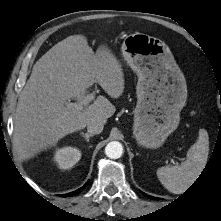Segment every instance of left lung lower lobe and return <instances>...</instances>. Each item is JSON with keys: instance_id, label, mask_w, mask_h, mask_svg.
Masks as SVG:
<instances>
[{"instance_id": "left-lung-lower-lobe-1", "label": "left lung lower lobe", "mask_w": 221, "mask_h": 221, "mask_svg": "<svg viewBox=\"0 0 221 221\" xmlns=\"http://www.w3.org/2000/svg\"><path fill=\"white\" fill-rule=\"evenodd\" d=\"M148 198H150V199H158V198H155V197H152V196H148V195H146Z\"/></svg>"}]
</instances>
